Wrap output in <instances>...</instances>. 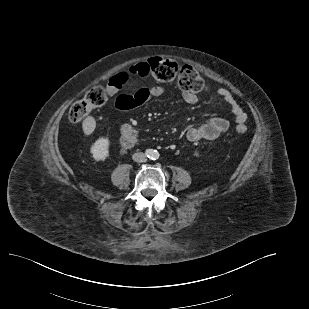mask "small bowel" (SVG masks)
I'll list each match as a JSON object with an SVG mask.
<instances>
[{
    "mask_svg": "<svg viewBox=\"0 0 309 309\" xmlns=\"http://www.w3.org/2000/svg\"><path fill=\"white\" fill-rule=\"evenodd\" d=\"M150 73L147 62H141L122 70L113 75L107 83V92L109 96H115L125 85H127L134 77H145ZM166 89L161 85L151 87H141L133 94H122L116 99V106L121 111H128L141 106L154 98L163 96ZM218 96L230 107L234 120L237 124H243L246 121V113L237 103L233 94L226 88L217 89ZM183 99L194 104L198 101V96L194 93H183ZM229 128V121L223 117H213L206 123L191 127L187 131V138L196 142L199 140H214ZM121 145L128 149L133 147L137 142V132L133 125L126 123L121 127Z\"/></svg>",
    "mask_w": 309,
    "mask_h": 309,
    "instance_id": "obj_1",
    "label": "small bowel"
}]
</instances>
